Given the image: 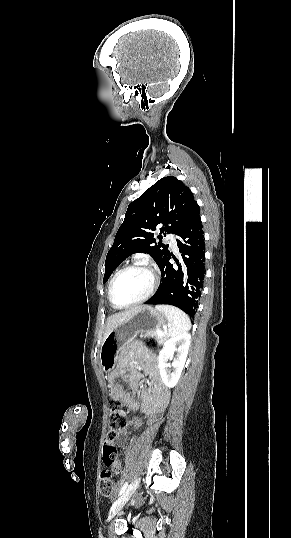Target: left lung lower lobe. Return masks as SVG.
<instances>
[{"mask_svg":"<svg viewBox=\"0 0 291 538\" xmlns=\"http://www.w3.org/2000/svg\"><path fill=\"white\" fill-rule=\"evenodd\" d=\"M181 253L178 267L169 263L168 253L160 265L162 282L155 295L144 304H169L182 309L191 319L197 311L205 276V245L199 209L175 232Z\"/></svg>","mask_w":291,"mask_h":538,"instance_id":"left-lung-lower-lobe-1","label":"left lung lower lobe"}]
</instances>
